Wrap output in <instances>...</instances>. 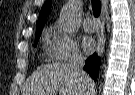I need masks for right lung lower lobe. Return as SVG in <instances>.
<instances>
[{
    "label": "right lung lower lobe",
    "mask_w": 135,
    "mask_h": 95,
    "mask_svg": "<svg viewBox=\"0 0 135 95\" xmlns=\"http://www.w3.org/2000/svg\"><path fill=\"white\" fill-rule=\"evenodd\" d=\"M100 61L96 54L90 56L85 63L84 70L89 73V75L96 80L98 77Z\"/></svg>",
    "instance_id": "right-lung-lower-lobe-1"
}]
</instances>
